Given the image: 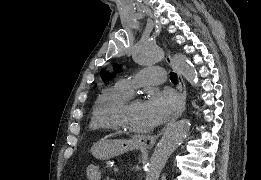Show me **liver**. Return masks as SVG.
Instances as JSON below:
<instances>
[{
    "label": "liver",
    "instance_id": "6515ba94",
    "mask_svg": "<svg viewBox=\"0 0 261 180\" xmlns=\"http://www.w3.org/2000/svg\"><path fill=\"white\" fill-rule=\"evenodd\" d=\"M116 134H121V132H116ZM110 136H115V134H109V136H106V138H110Z\"/></svg>",
    "mask_w": 261,
    "mask_h": 180
}]
</instances>
